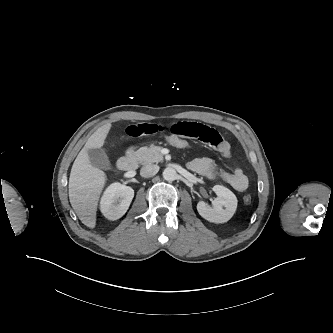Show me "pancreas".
I'll list each match as a JSON object with an SVG mask.
<instances>
[{"label":"pancreas","mask_w":333,"mask_h":333,"mask_svg":"<svg viewBox=\"0 0 333 333\" xmlns=\"http://www.w3.org/2000/svg\"><path fill=\"white\" fill-rule=\"evenodd\" d=\"M161 146L151 145L149 147H141L136 153V160L140 164L159 163L163 161V155L161 154Z\"/></svg>","instance_id":"1"}]
</instances>
